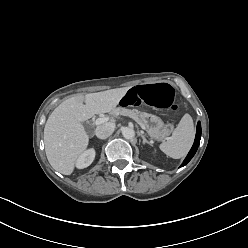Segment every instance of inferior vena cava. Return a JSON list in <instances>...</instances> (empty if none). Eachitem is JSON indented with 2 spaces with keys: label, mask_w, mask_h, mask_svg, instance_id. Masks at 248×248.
<instances>
[{
  "label": "inferior vena cava",
  "mask_w": 248,
  "mask_h": 248,
  "mask_svg": "<svg viewBox=\"0 0 248 248\" xmlns=\"http://www.w3.org/2000/svg\"><path fill=\"white\" fill-rule=\"evenodd\" d=\"M114 124L105 123L103 125L97 126L95 134L99 139H106L114 132Z\"/></svg>",
  "instance_id": "602c4592"
}]
</instances>
